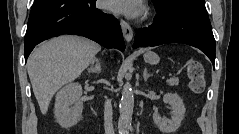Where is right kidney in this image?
<instances>
[{
    "label": "right kidney",
    "instance_id": "ca27d5eb",
    "mask_svg": "<svg viewBox=\"0 0 239 134\" xmlns=\"http://www.w3.org/2000/svg\"><path fill=\"white\" fill-rule=\"evenodd\" d=\"M82 87L79 83H70L63 87L55 98V118L63 128H69L78 123L82 116Z\"/></svg>",
    "mask_w": 239,
    "mask_h": 134
}]
</instances>
